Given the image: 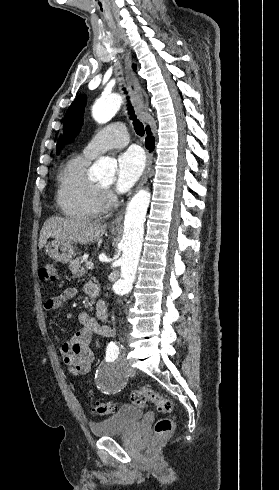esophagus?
Instances as JSON below:
<instances>
[{
	"label": "esophagus",
	"instance_id": "esophagus-1",
	"mask_svg": "<svg viewBox=\"0 0 279 490\" xmlns=\"http://www.w3.org/2000/svg\"><path fill=\"white\" fill-rule=\"evenodd\" d=\"M124 66H125L126 82L128 84L131 96L134 100L136 112L138 113L139 116H141L142 113L144 112L142 89L140 88L137 77L132 70V58L130 52H128L127 50L124 51ZM152 164H153V152L147 154L145 168L140 183L137 187V190L143 187V185L147 182L148 175L152 168ZM123 214L124 212L121 211L119 215L112 221L109 228L111 229L120 228L122 224Z\"/></svg>",
	"mask_w": 279,
	"mask_h": 490
}]
</instances>
